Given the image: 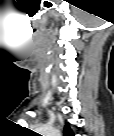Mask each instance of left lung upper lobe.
<instances>
[{"mask_svg":"<svg viewBox=\"0 0 114 136\" xmlns=\"http://www.w3.org/2000/svg\"><path fill=\"white\" fill-rule=\"evenodd\" d=\"M64 133L66 136H73L74 134L72 133V130L70 129V127L68 126V123L67 125L65 126L64 128Z\"/></svg>","mask_w":114,"mask_h":136,"instance_id":"5c2ea615","label":"left lung upper lobe"}]
</instances>
